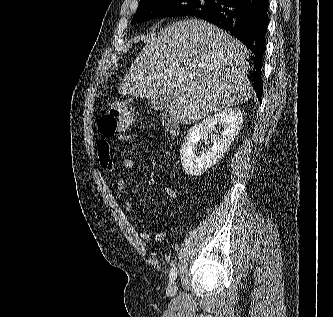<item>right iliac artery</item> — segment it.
Instances as JSON below:
<instances>
[{
    "label": "right iliac artery",
    "mask_w": 333,
    "mask_h": 317,
    "mask_svg": "<svg viewBox=\"0 0 333 317\" xmlns=\"http://www.w3.org/2000/svg\"><path fill=\"white\" fill-rule=\"evenodd\" d=\"M176 277H177V268L175 267V265H173L169 273L170 281H174Z\"/></svg>",
    "instance_id": "right-iliac-artery-1"
}]
</instances>
